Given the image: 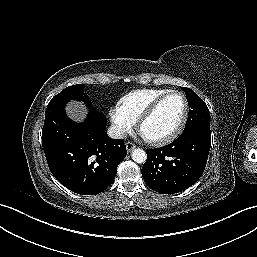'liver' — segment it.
<instances>
[{
  "instance_id": "obj_1",
  "label": "liver",
  "mask_w": 257,
  "mask_h": 257,
  "mask_svg": "<svg viewBox=\"0 0 257 257\" xmlns=\"http://www.w3.org/2000/svg\"><path fill=\"white\" fill-rule=\"evenodd\" d=\"M67 115L76 122H82L86 118L87 109L82 102L72 101L67 104Z\"/></svg>"
}]
</instances>
